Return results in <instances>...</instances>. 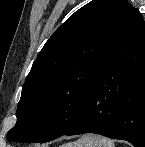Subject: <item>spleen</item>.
<instances>
[{"label": "spleen", "mask_w": 145, "mask_h": 147, "mask_svg": "<svg viewBox=\"0 0 145 147\" xmlns=\"http://www.w3.org/2000/svg\"><path fill=\"white\" fill-rule=\"evenodd\" d=\"M68 147H115L114 141L95 134L82 136L79 140L66 145Z\"/></svg>", "instance_id": "1"}]
</instances>
